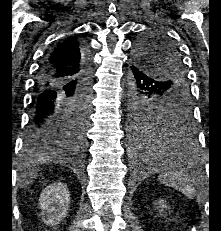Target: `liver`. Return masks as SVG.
Wrapping results in <instances>:
<instances>
[{"label":"liver","instance_id":"6515ba94","mask_svg":"<svg viewBox=\"0 0 221 231\" xmlns=\"http://www.w3.org/2000/svg\"><path fill=\"white\" fill-rule=\"evenodd\" d=\"M52 157H54V155H52V153L50 154H43L40 156V161H45V160H48V159H51ZM30 177L29 180H24L22 183H21V186H24L28 183H31L33 180L32 178H35V175L33 174V172H29L28 175Z\"/></svg>","mask_w":221,"mask_h":231}]
</instances>
